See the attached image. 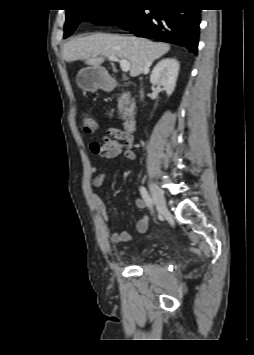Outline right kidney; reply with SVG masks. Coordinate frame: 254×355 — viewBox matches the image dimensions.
Returning <instances> with one entry per match:
<instances>
[{"instance_id": "ca27d5eb", "label": "right kidney", "mask_w": 254, "mask_h": 355, "mask_svg": "<svg viewBox=\"0 0 254 355\" xmlns=\"http://www.w3.org/2000/svg\"><path fill=\"white\" fill-rule=\"evenodd\" d=\"M179 68V62L175 58L162 59L154 67L150 76V82L162 85L167 95L170 96L176 86Z\"/></svg>"}]
</instances>
